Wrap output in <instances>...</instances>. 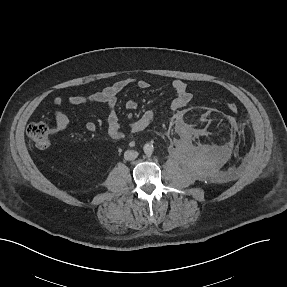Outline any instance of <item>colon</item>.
<instances>
[{
    "mask_svg": "<svg viewBox=\"0 0 287 287\" xmlns=\"http://www.w3.org/2000/svg\"><path fill=\"white\" fill-rule=\"evenodd\" d=\"M227 109L232 113H237L236 103H228ZM27 135L31 143L38 149H46L50 145V128L43 121L31 123L27 129Z\"/></svg>",
    "mask_w": 287,
    "mask_h": 287,
    "instance_id": "1",
    "label": "colon"
}]
</instances>
